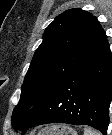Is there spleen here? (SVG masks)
<instances>
[{
  "mask_svg": "<svg viewBox=\"0 0 112 135\" xmlns=\"http://www.w3.org/2000/svg\"><path fill=\"white\" fill-rule=\"evenodd\" d=\"M84 135H100V134L90 128H85Z\"/></svg>",
  "mask_w": 112,
  "mask_h": 135,
  "instance_id": "3e777b00",
  "label": "spleen"
}]
</instances>
